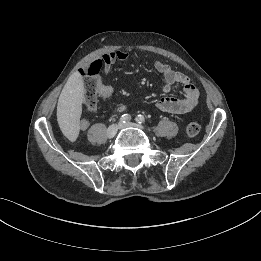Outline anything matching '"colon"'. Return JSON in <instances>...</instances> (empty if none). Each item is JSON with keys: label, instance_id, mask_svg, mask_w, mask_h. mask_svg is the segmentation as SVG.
<instances>
[{"label": "colon", "instance_id": "colon-1", "mask_svg": "<svg viewBox=\"0 0 261 261\" xmlns=\"http://www.w3.org/2000/svg\"><path fill=\"white\" fill-rule=\"evenodd\" d=\"M102 69V62L99 60L94 61L90 67L84 71L85 75V96H84V109L86 112H92L98 103L99 95V80L98 74ZM200 132V125L197 122H190L186 126V133L189 137H195Z\"/></svg>", "mask_w": 261, "mask_h": 261}]
</instances>
